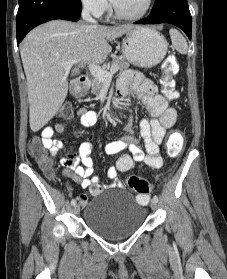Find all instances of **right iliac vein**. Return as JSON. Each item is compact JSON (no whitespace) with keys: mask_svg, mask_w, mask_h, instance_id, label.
I'll return each mask as SVG.
<instances>
[{"mask_svg":"<svg viewBox=\"0 0 227 279\" xmlns=\"http://www.w3.org/2000/svg\"><path fill=\"white\" fill-rule=\"evenodd\" d=\"M73 211L75 214H78L80 212V206L78 204L74 205Z\"/></svg>","mask_w":227,"mask_h":279,"instance_id":"right-iliac-vein-1","label":"right iliac vein"}]
</instances>
